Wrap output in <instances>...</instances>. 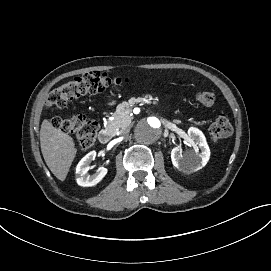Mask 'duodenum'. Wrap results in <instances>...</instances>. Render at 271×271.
<instances>
[{
    "label": "duodenum",
    "instance_id": "1",
    "mask_svg": "<svg viewBox=\"0 0 271 271\" xmlns=\"http://www.w3.org/2000/svg\"><path fill=\"white\" fill-rule=\"evenodd\" d=\"M113 137V132L110 128L104 127L99 132V140L101 143H108Z\"/></svg>",
    "mask_w": 271,
    "mask_h": 271
}]
</instances>
